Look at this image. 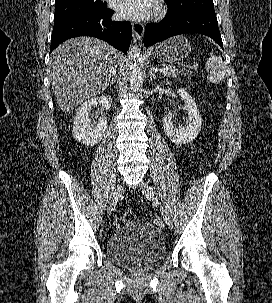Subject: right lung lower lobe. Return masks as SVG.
<instances>
[{
  "mask_svg": "<svg viewBox=\"0 0 272 303\" xmlns=\"http://www.w3.org/2000/svg\"><path fill=\"white\" fill-rule=\"evenodd\" d=\"M113 13L114 11L111 9L104 12L89 11L54 20L50 52L69 38L92 36L127 53L132 38V26L126 21H112Z\"/></svg>",
  "mask_w": 272,
  "mask_h": 303,
  "instance_id": "98d812e1",
  "label": "right lung lower lobe"
}]
</instances>
